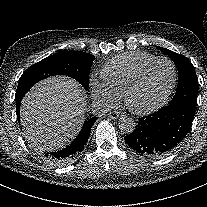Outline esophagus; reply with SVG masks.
I'll list each match as a JSON object with an SVG mask.
<instances>
[{
  "label": "esophagus",
  "mask_w": 207,
  "mask_h": 207,
  "mask_svg": "<svg viewBox=\"0 0 207 207\" xmlns=\"http://www.w3.org/2000/svg\"><path fill=\"white\" fill-rule=\"evenodd\" d=\"M109 117H110L111 119H118V118L121 117V113H120V112H117V111H114V112H111V113L109 114Z\"/></svg>",
  "instance_id": "34e87169"
}]
</instances>
